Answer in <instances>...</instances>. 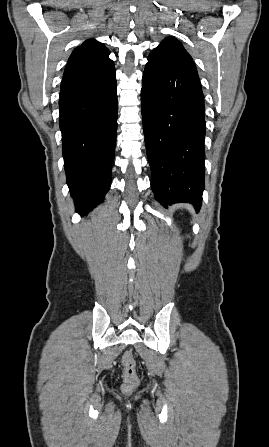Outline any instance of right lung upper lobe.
<instances>
[{
    "label": "right lung upper lobe",
    "mask_w": 269,
    "mask_h": 447,
    "mask_svg": "<svg viewBox=\"0 0 269 447\" xmlns=\"http://www.w3.org/2000/svg\"><path fill=\"white\" fill-rule=\"evenodd\" d=\"M109 50L100 42L89 39L72 52L63 77L85 73L112 65Z\"/></svg>",
    "instance_id": "1"
}]
</instances>
